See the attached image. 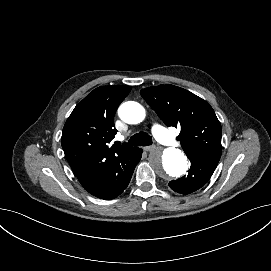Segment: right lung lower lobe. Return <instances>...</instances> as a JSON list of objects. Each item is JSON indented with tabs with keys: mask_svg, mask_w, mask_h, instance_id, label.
Instances as JSON below:
<instances>
[{
	"mask_svg": "<svg viewBox=\"0 0 271 271\" xmlns=\"http://www.w3.org/2000/svg\"><path fill=\"white\" fill-rule=\"evenodd\" d=\"M141 155L142 149L135 148L126 157L110 163L104 171L83 187L95 197L104 200L116 198L128 186Z\"/></svg>",
	"mask_w": 271,
	"mask_h": 271,
	"instance_id": "obj_1",
	"label": "right lung lower lobe"
}]
</instances>
